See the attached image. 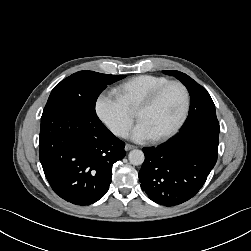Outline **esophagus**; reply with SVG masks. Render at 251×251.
Masks as SVG:
<instances>
[{"instance_id": "obj_1", "label": "esophagus", "mask_w": 251, "mask_h": 251, "mask_svg": "<svg viewBox=\"0 0 251 251\" xmlns=\"http://www.w3.org/2000/svg\"><path fill=\"white\" fill-rule=\"evenodd\" d=\"M134 148H136V146H134V145H131V144H126V145H125V150H126V151L132 150V149H134Z\"/></svg>"}]
</instances>
